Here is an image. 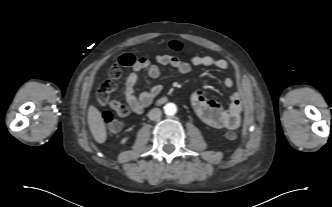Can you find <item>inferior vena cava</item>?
<instances>
[{"mask_svg": "<svg viewBox=\"0 0 332 207\" xmlns=\"http://www.w3.org/2000/svg\"><path fill=\"white\" fill-rule=\"evenodd\" d=\"M161 115H162V112L159 108H153L148 113V117H149L150 120L160 119Z\"/></svg>", "mask_w": 332, "mask_h": 207, "instance_id": "obj_1", "label": "inferior vena cava"}]
</instances>
